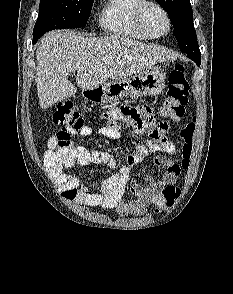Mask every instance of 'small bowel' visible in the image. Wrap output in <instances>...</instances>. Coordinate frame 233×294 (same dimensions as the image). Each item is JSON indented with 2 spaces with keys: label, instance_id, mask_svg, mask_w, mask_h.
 I'll return each instance as SVG.
<instances>
[{
  "label": "small bowel",
  "instance_id": "small-bowel-1",
  "mask_svg": "<svg viewBox=\"0 0 233 294\" xmlns=\"http://www.w3.org/2000/svg\"><path fill=\"white\" fill-rule=\"evenodd\" d=\"M157 113L158 108H153V104L150 103L136 104L135 108L124 104L123 108L105 112L101 116L105 123L95 131L88 125H84L79 130L66 129L70 135L78 134L82 137H89L97 134L118 140L121 137L120 129H123V122L124 125L134 126L136 129H131L134 137L149 138L146 144H137L135 152H125V156H113L102 149H87L73 144L60 148L57 136L49 137L44 153V164L56 183L63 189L65 197L89 207L114 209L122 216L146 213L155 195L166 187L175 186L181 172V167L175 161L158 155L154 158L153 164L166 169L162 179L156 181L151 176H147L144 185L132 187L133 199L127 200L123 197L132 166L142 162L151 152L168 154L175 152L174 143L166 136L170 123L168 120H159V123H154ZM117 161H124V163H117ZM76 164L81 166L106 165L111 169H119L104 181L98 192H90L85 185L80 184L77 177L65 172Z\"/></svg>",
  "mask_w": 233,
  "mask_h": 294
}]
</instances>
